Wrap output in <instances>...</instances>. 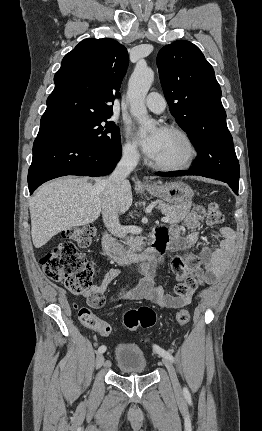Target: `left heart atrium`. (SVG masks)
I'll return each mask as SVG.
<instances>
[{"label": "left heart atrium", "instance_id": "39dd6f15", "mask_svg": "<svg viewBox=\"0 0 262 431\" xmlns=\"http://www.w3.org/2000/svg\"><path fill=\"white\" fill-rule=\"evenodd\" d=\"M162 132V129H157L146 137H139V143L143 148V151L151 158H153L157 153L162 137Z\"/></svg>", "mask_w": 262, "mask_h": 431}]
</instances>
